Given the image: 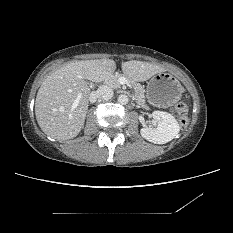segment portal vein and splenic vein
<instances>
[{
    "mask_svg": "<svg viewBox=\"0 0 233 233\" xmlns=\"http://www.w3.org/2000/svg\"><path fill=\"white\" fill-rule=\"evenodd\" d=\"M125 82H127V81L125 80ZM80 98H81V94H79L77 96V98L75 99V101H74V103L72 105V109H75L78 106Z\"/></svg>",
    "mask_w": 233,
    "mask_h": 233,
    "instance_id": "portal-vein-and-splenic-vein-1",
    "label": "portal vein and splenic vein"
}]
</instances>
